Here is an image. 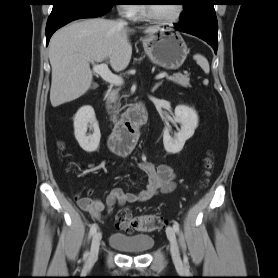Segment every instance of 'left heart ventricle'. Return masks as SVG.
Instances as JSON below:
<instances>
[{"label":"left heart ventricle","instance_id":"b2bd125f","mask_svg":"<svg viewBox=\"0 0 278 278\" xmlns=\"http://www.w3.org/2000/svg\"><path fill=\"white\" fill-rule=\"evenodd\" d=\"M150 8L157 17L169 19L175 16L178 4L151 5Z\"/></svg>","mask_w":278,"mask_h":278}]
</instances>
